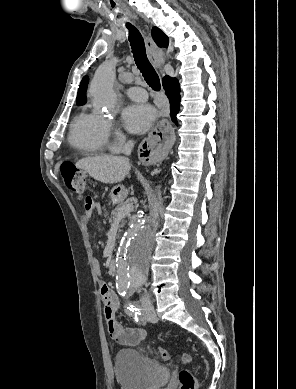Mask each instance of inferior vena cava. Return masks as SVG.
<instances>
[{
	"label": "inferior vena cava",
	"instance_id": "602c4592",
	"mask_svg": "<svg viewBox=\"0 0 296 389\" xmlns=\"http://www.w3.org/2000/svg\"><path fill=\"white\" fill-rule=\"evenodd\" d=\"M134 143L133 141H128L126 145L124 146V154L130 155L132 149H133Z\"/></svg>",
	"mask_w": 296,
	"mask_h": 389
}]
</instances>
